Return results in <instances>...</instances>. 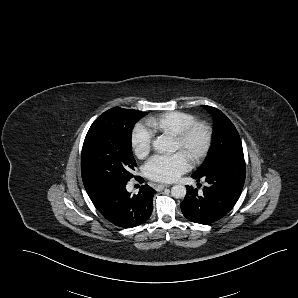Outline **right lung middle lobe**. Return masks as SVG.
<instances>
[{"label": "right lung middle lobe", "mask_w": 298, "mask_h": 298, "mask_svg": "<svg viewBox=\"0 0 298 298\" xmlns=\"http://www.w3.org/2000/svg\"><path fill=\"white\" fill-rule=\"evenodd\" d=\"M138 110L115 107L100 115L89 128L81 154L86 191L127 183L136 166L131 136L135 123L145 116Z\"/></svg>", "instance_id": "right-lung-middle-lobe-1"}]
</instances>
